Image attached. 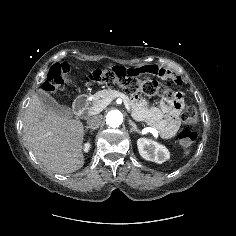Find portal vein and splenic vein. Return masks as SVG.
Listing matches in <instances>:
<instances>
[{"label":"portal vein and splenic vein","mask_w":236,"mask_h":236,"mask_svg":"<svg viewBox=\"0 0 236 236\" xmlns=\"http://www.w3.org/2000/svg\"><path fill=\"white\" fill-rule=\"evenodd\" d=\"M120 97L123 99L124 105L127 109H130L129 102L125 99L124 95L121 93ZM114 98H105L101 104L91 107L88 110V115H95L100 113L106 106H108Z\"/></svg>","instance_id":"portal-vein-and-splenic-vein-1"}]
</instances>
